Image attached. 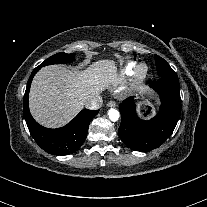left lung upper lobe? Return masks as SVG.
Segmentation results:
<instances>
[{"instance_id": "obj_1", "label": "left lung upper lobe", "mask_w": 207, "mask_h": 207, "mask_svg": "<svg viewBox=\"0 0 207 207\" xmlns=\"http://www.w3.org/2000/svg\"><path fill=\"white\" fill-rule=\"evenodd\" d=\"M157 72L160 77L175 73L170 65L161 57L155 55Z\"/></svg>"}]
</instances>
